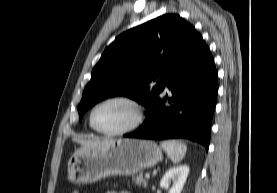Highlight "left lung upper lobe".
Here are the masks:
<instances>
[{
  "label": "left lung upper lobe",
  "instance_id": "left-lung-upper-lobe-1",
  "mask_svg": "<svg viewBox=\"0 0 277 193\" xmlns=\"http://www.w3.org/2000/svg\"><path fill=\"white\" fill-rule=\"evenodd\" d=\"M198 35L177 14L157 17L119 35L92 71L78 106L79 119L95 103L115 95L130 97L149 111Z\"/></svg>",
  "mask_w": 277,
  "mask_h": 193
}]
</instances>
